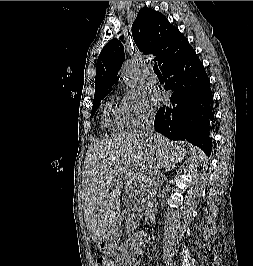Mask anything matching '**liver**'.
Masks as SVG:
<instances>
[{"instance_id":"liver-1","label":"liver","mask_w":253,"mask_h":266,"mask_svg":"<svg viewBox=\"0 0 253 266\" xmlns=\"http://www.w3.org/2000/svg\"><path fill=\"white\" fill-rule=\"evenodd\" d=\"M180 147L158 133L150 142L138 130L121 133L89 147L84 162L82 194L84 217L94 242L108 232L119 216L123 181L129 177L144 183L152 170L158 172L167 165L174 167L181 159L178 156Z\"/></svg>"}]
</instances>
